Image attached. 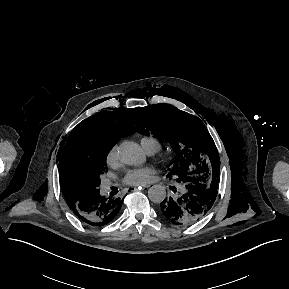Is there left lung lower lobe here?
<instances>
[{
	"mask_svg": "<svg viewBox=\"0 0 289 289\" xmlns=\"http://www.w3.org/2000/svg\"><path fill=\"white\" fill-rule=\"evenodd\" d=\"M176 197L165 199L161 210L166 219L177 225H190L208 213L216 199L218 181L213 178L209 182L193 178L182 184ZM176 191V188H172Z\"/></svg>",
	"mask_w": 289,
	"mask_h": 289,
	"instance_id": "0a47b994",
	"label": "left lung lower lobe"
}]
</instances>
